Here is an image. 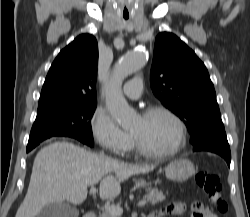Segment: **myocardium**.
Listing matches in <instances>:
<instances>
[{"label": "myocardium", "mask_w": 250, "mask_h": 217, "mask_svg": "<svg viewBox=\"0 0 250 217\" xmlns=\"http://www.w3.org/2000/svg\"><path fill=\"white\" fill-rule=\"evenodd\" d=\"M155 113H162L167 115L169 118L173 120V122L176 124L177 129H178V140L176 145L171 148L170 150L163 151V152H156L153 150L148 149L145 147L139 140L138 138L131 133L134 145L136 147V150L147 157L150 158H155V159H163V158H168L176 155L178 152H180L183 147L186 144V139H187V128L183 120L170 108L164 106V105H153L148 108H146L143 113L142 117H147Z\"/></svg>", "instance_id": "obj_1"}]
</instances>
